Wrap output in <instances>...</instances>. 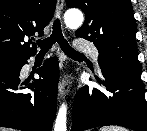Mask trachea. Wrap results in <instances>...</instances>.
<instances>
[{
	"instance_id": "trachea-1",
	"label": "trachea",
	"mask_w": 147,
	"mask_h": 131,
	"mask_svg": "<svg viewBox=\"0 0 147 131\" xmlns=\"http://www.w3.org/2000/svg\"><path fill=\"white\" fill-rule=\"evenodd\" d=\"M57 42L60 45V48L63 50V52L72 58H78L83 57L82 53H79L75 51L67 42V40L64 38L61 30V24L58 19H56L53 23V31L52 34L43 39L38 40L37 44L40 47V54H45L49 49L52 47V45Z\"/></svg>"
}]
</instances>
